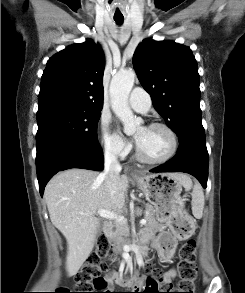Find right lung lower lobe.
Here are the masks:
<instances>
[{
    "label": "right lung lower lobe",
    "mask_w": 245,
    "mask_h": 293,
    "mask_svg": "<svg viewBox=\"0 0 245 293\" xmlns=\"http://www.w3.org/2000/svg\"><path fill=\"white\" fill-rule=\"evenodd\" d=\"M104 157L101 147L74 146L61 148L36 165L40 194L43 196L47 182L59 171L82 168L100 171Z\"/></svg>",
    "instance_id": "right-lung-lower-lobe-1"
}]
</instances>
